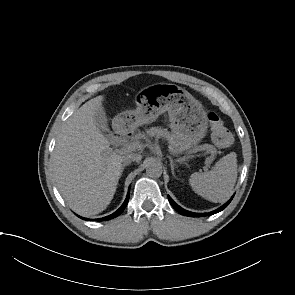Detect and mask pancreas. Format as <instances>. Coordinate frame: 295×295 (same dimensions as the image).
<instances>
[{
  "mask_svg": "<svg viewBox=\"0 0 295 295\" xmlns=\"http://www.w3.org/2000/svg\"><path fill=\"white\" fill-rule=\"evenodd\" d=\"M146 133L150 137L162 138L167 140L169 144V148L172 152L180 153L182 151L180 142L167 129H163L161 127H152L148 129ZM195 150H206L207 152H210L212 156H215L217 154V149L210 144L197 146L195 147Z\"/></svg>",
  "mask_w": 295,
  "mask_h": 295,
  "instance_id": "cf45deb5",
  "label": "pancreas"
}]
</instances>
